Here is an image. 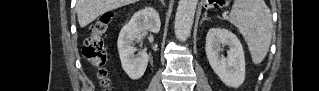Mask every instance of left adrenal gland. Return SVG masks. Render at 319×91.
Returning a JSON list of instances; mask_svg holds the SVG:
<instances>
[{
  "mask_svg": "<svg viewBox=\"0 0 319 91\" xmlns=\"http://www.w3.org/2000/svg\"><path fill=\"white\" fill-rule=\"evenodd\" d=\"M205 20H209V18H207V13H206V12L204 13V17L202 18L201 23H202L203 21H205Z\"/></svg>",
  "mask_w": 319,
  "mask_h": 91,
  "instance_id": "a2214340",
  "label": "left adrenal gland"
}]
</instances>
